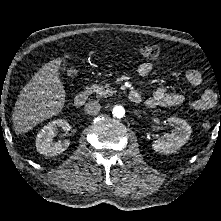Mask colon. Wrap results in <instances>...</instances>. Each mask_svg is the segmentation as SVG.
I'll use <instances>...</instances> for the list:
<instances>
[{
	"mask_svg": "<svg viewBox=\"0 0 221 221\" xmlns=\"http://www.w3.org/2000/svg\"><path fill=\"white\" fill-rule=\"evenodd\" d=\"M138 52L146 59L149 60H154V61H159L161 59V51L160 48L157 46H141L138 49ZM76 71L75 70H69L68 75L73 76L75 75ZM204 128H209L210 123L209 122H204L203 123Z\"/></svg>",
	"mask_w": 221,
	"mask_h": 221,
	"instance_id": "1",
	"label": "colon"
}]
</instances>
